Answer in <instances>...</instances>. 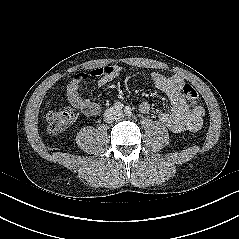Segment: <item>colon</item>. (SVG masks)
<instances>
[{
    "mask_svg": "<svg viewBox=\"0 0 239 239\" xmlns=\"http://www.w3.org/2000/svg\"><path fill=\"white\" fill-rule=\"evenodd\" d=\"M182 93L189 103L195 105L199 102L197 90L190 84H185ZM74 115L69 110H53L47 114L48 131L52 135L63 132L73 121Z\"/></svg>",
    "mask_w": 239,
    "mask_h": 239,
    "instance_id": "1",
    "label": "colon"
}]
</instances>
